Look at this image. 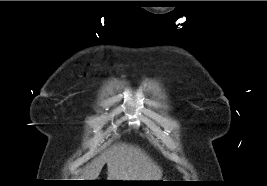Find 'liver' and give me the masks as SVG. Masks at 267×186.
I'll use <instances>...</instances> for the list:
<instances>
[{"label": "liver", "instance_id": "liver-1", "mask_svg": "<svg viewBox=\"0 0 267 186\" xmlns=\"http://www.w3.org/2000/svg\"><path fill=\"white\" fill-rule=\"evenodd\" d=\"M107 164L108 180L159 181L161 168L140 148L119 144L101 153L86 166L83 178L96 180Z\"/></svg>", "mask_w": 267, "mask_h": 186}]
</instances>
